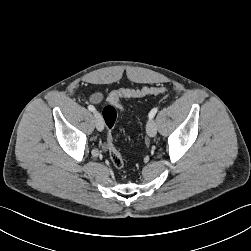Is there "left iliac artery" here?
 I'll list each match as a JSON object with an SVG mask.
<instances>
[{"mask_svg":"<svg viewBox=\"0 0 251 251\" xmlns=\"http://www.w3.org/2000/svg\"><path fill=\"white\" fill-rule=\"evenodd\" d=\"M157 112H158V108H157V107L153 108V109L150 111V113H149V119H153L154 116H155V114H156Z\"/></svg>","mask_w":251,"mask_h":251,"instance_id":"1","label":"left iliac artery"}]
</instances>
